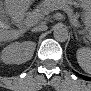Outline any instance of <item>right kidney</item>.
I'll list each match as a JSON object with an SVG mask.
<instances>
[{"instance_id": "1", "label": "right kidney", "mask_w": 91, "mask_h": 91, "mask_svg": "<svg viewBox=\"0 0 91 91\" xmlns=\"http://www.w3.org/2000/svg\"><path fill=\"white\" fill-rule=\"evenodd\" d=\"M36 47L35 42H14L1 52V60L5 64H22L30 60Z\"/></svg>"}]
</instances>
